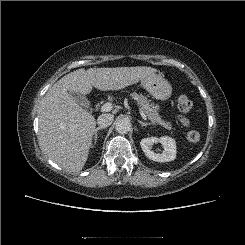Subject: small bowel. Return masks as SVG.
I'll list each match as a JSON object with an SVG mask.
<instances>
[{"instance_id": "c3829d8e", "label": "small bowel", "mask_w": 245, "mask_h": 245, "mask_svg": "<svg viewBox=\"0 0 245 245\" xmlns=\"http://www.w3.org/2000/svg\"><path fill=\"white\" fill-rule=\"evenodd\" d=\"M179 121L184 126H188L190 124V121L187 118H185V117H180Z\"/></svg>"}]
</instances>
